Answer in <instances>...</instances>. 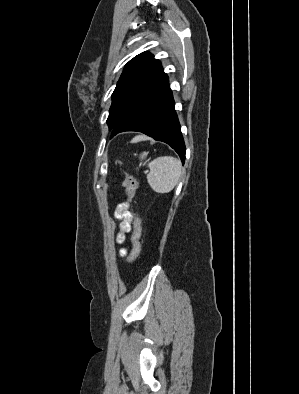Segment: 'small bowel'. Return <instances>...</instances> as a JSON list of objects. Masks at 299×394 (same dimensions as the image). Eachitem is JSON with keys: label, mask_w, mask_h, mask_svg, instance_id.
Segmentation results:
<instances>
[{"label": "small bowel", "mask_w": 299, "mask_h": 394, "mask_svg": "<svg viewBox=\"0 0 299 394\" xmlns=\"http://www.w3.org/2000/svg\"><path fill=\"white\" fill-rule=\"evenodd\" d=\"M129 204L127 202L120 203L115 209V218L120 222V231L116 236V242L122 244L126 235L132 230L133 214L129 209ZM127 254L126 249L120 250V256L124 257Z\"/></svg>", "instance_id": "obj_1"}]
</instances>
